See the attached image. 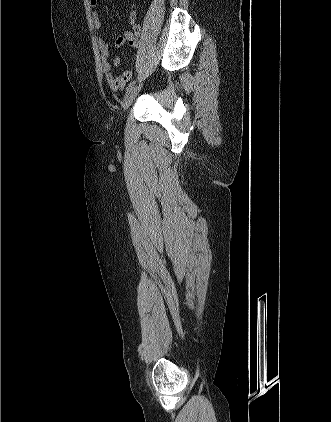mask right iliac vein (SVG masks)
Listing matches in <instances>:
<instances>
[{"instance_id":"obj_1","label":"right iliac vein","mask_w":331,"mask_h":422,"mask_svg":"<svg viewBox=\"0 0 331 422\" xmlns=\"http://www.w3.org/2000/svg\"><path fill=\"white\" fill-rule=\"evenodd\" d=\"M141 86H136L134 88H132L124 97L123 103H122V108L124 111H126L129 106L132 104V102L134 101L135 97L137 96L139 90H140Z\"/></svg>"}]
</instances>
